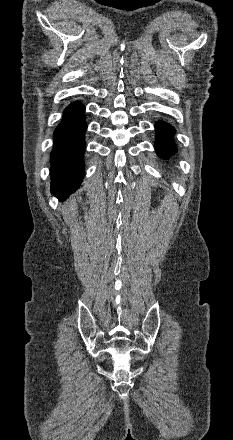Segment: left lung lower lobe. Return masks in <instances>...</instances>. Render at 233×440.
Returning <instances> with one entry per match:
<instances>
[{
	"instance_id": "left-lung-lower-lobe-1",
	"label": "left lung lower lobe",
	"mask_w": 233,
	"mask_h": 440,
	"mask_svg": "<svg viewBox=\"0 0 233 440\" xmlns=\"http://www.w3.org/2000/svg\"><path fill=\"white\" fill-rule=\"evenodd\" d=\"M156 129V144L155 149L160 157H169L177 151L174 144L173 135L175 133L174 127L165 122H158L155 124Z\"/></svg>"
}]
</instances>
